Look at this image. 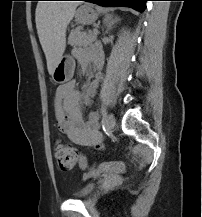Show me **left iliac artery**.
<instances>
[{
	"mask_svg": "<svg viewBox=\"0 0 202 217\" xmlns=\"http://www.w3.org/2000/svg\"><path fill=\"white\" fill-rule=\"evenodd\" d=\"M101 114H102V120H101V125H102V128H103V130L104 131H106L105 129H106V127H105V118H106V109H102L101 110Z\"/></svg>",
	"mask_w": 202,
	"mask_h": 217,
	"instance_id": "44dca946",
	"label": "left iliac artery"
}]
</instances>
